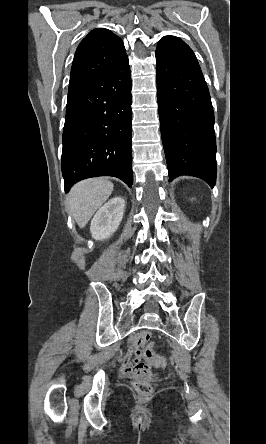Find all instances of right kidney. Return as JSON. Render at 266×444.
Listing matches in <instances>:
<instances>
[{
    "instance_id": "right-kidney-1",
    "label": "right kidney",
    "mask_w": 266,
    "mask_h": 444,
    "mask_svg": "<svg viewBox=\"0 0 266 444\" xmlns=\"http://www.w3.org/2000/svg\"><path fill=\"white\" fill-rule=\"evenodd\" d=\"M125 210V200L114 197L105 203L91 221L90 232L96 240L109 238L120 225Z\"/></svg>"
}]
</instances>
